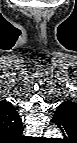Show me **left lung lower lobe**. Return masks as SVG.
<instances>
[{"mask_svg": "<svg viewBox=\"0 0 77 143\" xmlns=\"http://www.w3.org/2000/svg\"><path fill=\"white\" fill-rule=\"evenodd\" d=\"M74 114L75 104L71 102H64L57 107L51 122L55 123L59 128L65 124L71 125Z\"/></svg>", "mask_w": 77, "mask_h": 143, "instance_id": "1", "label": "left lung lower lobe"}]
</instances>
